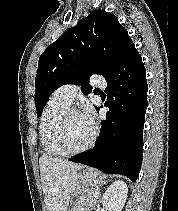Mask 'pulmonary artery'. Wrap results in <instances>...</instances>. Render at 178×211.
Wrapping results in <instances>:
<instances>
[{
	"label": "pulmonary artery",
	"instance_id": "obj_1",
	"mask_svg": "<svg viewBox=\"0 0 178 211\" xmlns=\"http://www.w3.org/2000/svg\"><path fill=\"white\" fill-rule=\"evenodd\" d=\"M89 82H90V85L94 87H100V88H104L105 83H106L105 79L101 77H97V76H92ZM78 89H79V85L77 84H74V83L65 84L59 87L56 90L55 94L64 102L70 105L73 102L74 98L76 97Z\"/></svg>",
	"mask_w": 178,
	"mask_h": 211
}]
</instances>
